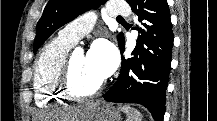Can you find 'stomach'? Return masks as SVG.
Returning a JSON list of instances; mask_svg holds the SVG:
<instances>
[{"instance_id": "0dacf381", "label": "stomach", "mask_w": 217, "mask_h": 121, "mask_svg": "<svg viewBox=\"0 0 217 121\" xmlns=\"http://www.w3.org/2000/svg\"><path fill=\"white\" fill-rule=\"evenodd\" d=\"M121 114L110 104H97L90 112L87 121H120Z\"/></svg>"}]
</instances>
